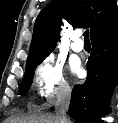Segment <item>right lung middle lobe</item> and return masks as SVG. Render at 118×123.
<instances>
[{
  "instance_id": "obj_1",
  "label": "right lung middle lobe",
  "mask_w": 118,
  "mask_h": 123,
  "mask_svg": "<svg viewBox=\"0 0 118 123\" xmlns=\"http://www.w3.org/2000/svg\"><path fill=\"white\" fill-rule=\"evenodd\" d=\"M45 58L41 59L39 62H37L35 65H33L31 68L27 69L25 71V76L23 78L22 84L20 86L19 94L23 95L28 92L29 87L32 84L33 76H34V70L36 67L44 60Z\"/></svg>"
}]
</instances>
